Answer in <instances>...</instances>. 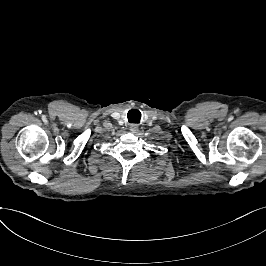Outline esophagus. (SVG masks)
<instances>
[{"label":"esophagus","instance_id":"34e87169","mask_svg":"<svg viewBox=\"0 0 266 266\" xmlns=\"http://www.w3.org/2000/svg\"><path fill=\"white\" fill-rule=\"evenodd\" d=\"M138 129V126L137 125H131L130 126V130L131 131H135V130H137Z\"/></svg>","mask_w":266,"mask_h":266}]
</instances>
